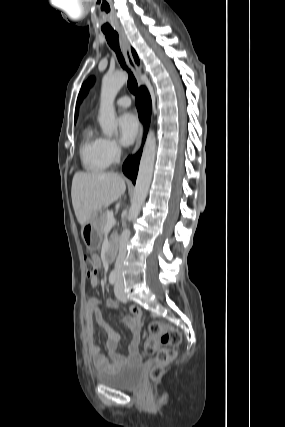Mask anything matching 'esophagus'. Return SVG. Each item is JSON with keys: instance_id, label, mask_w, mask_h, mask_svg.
Masks as SVG:
<instances>
[{"instance_id": "1", "label": "esophagus", "mask_w": 285, "mask_h": 427, "mask_svg": "<svg viewBox=\"0 0 285 427\" xmlns=\"http://www.w3.org/2000/svg\"><path fill=\"white\" fill-rule=\"evenodd\" d=\"M117 32L119 34V38H120L121 45H122V50H123L125 59L127 61V64L131 68V70L133 71L135 77L138 80V83L141 85L140 75H141L142 71H141V68L134 61L128 38H127V36H126V34L122 28L117 29ZM142 134H143V126L141 125L139 132H138V137L136 140V145H135L133 154H135L140 148L141 141H142Z\"/></svg>"}]
</instances>
